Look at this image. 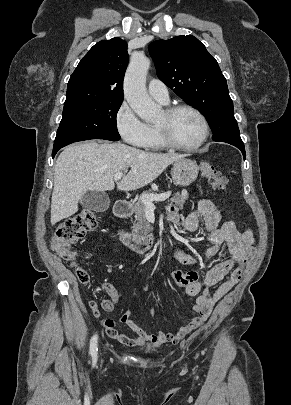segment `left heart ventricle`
<instances>
[{
    "mask_svg": "<svg viewBox=\"0 0 291 405\" xmlns=\"http://www.w3.org/2000/svg\"><path fill=\"white\" fill-rule=\"evenodd\" d=\"M168 124L172 138L182 145H193L203 135V125L200 118L189 110H181L172 118L167 119L163 112L157 125Z\"/></svg>",
    "mask_w": 291,
    "mask_h": 405,
    "instance_id": "left-heart-ventricle-1",
    "label": "left heart ventricle"
}]
</instances>
